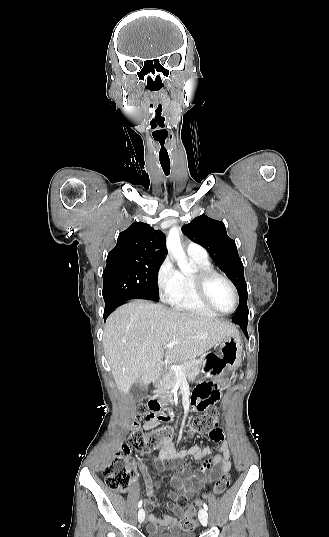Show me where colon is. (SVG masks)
Instances as JSON below:
<instances>
[{"instance_id":"5ec220e1","label":"colon","mask_w":329,"mask_h":537,"mask_svg":"<svg viewBox=\"0 0 329 537\" xmlns=\"http://www.w3.org/2000/svg\"><path fill=\"white\" fill-rule=\"evenodd\" d=\"M142 418L147 422L156 420L154 415L147 408L141 407L131 426V432L127 442L122 444L115 457L102 471L107 487L114 492L126 493L133 483L134 468L129 458V455L133 450L139 453H149L156 450L165 441H170L173 437L174 429L169 425L155 428L149 432H144L140 427ZM218 419V409L213 408L207 411L192 421L189 428L186 430V436L192 437L194 434H205L209 433L211 430H216L219 435V429L217 428ZM229 485L230 475L228 472L223 473L215 482L213 491L215 494H222ZM199 505L200 500L197 499L184 506L181 522L184 526L183 531L186 534L192 535L196 531L194 515Z\"/></svg>"}]
</instances>
